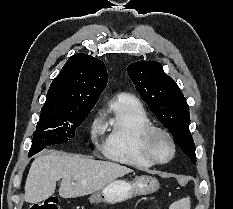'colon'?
Masks as SVG:
<instances>
[{"mask_svg":"<svg viewBox=\"0 0 233 209\" xmlns=\"http://www.w3.org/2000/svg\"><path fill=\"white\" fill-rule=\"evenodd\" d=\"M30 209H58V203L56 199L48 198L42 202L33 204Z\"/></svg>","mask_w":233,"mask_h":209,"instance_id":"obj_1","label":"colon"}]
</instances>
